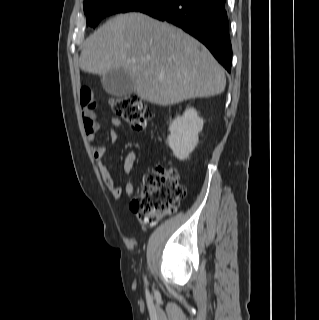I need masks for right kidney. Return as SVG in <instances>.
Returning a JSON list of instances; mask_svg holds the SVG:
<instances>
[{
  "mask_svg": "<svg viewBox=\"0 0 319 320\" xmlns=\"http://www.w3.org/2000/svg\"><path fill=\"white\" fill-rule=\"evenodd\" d=\"M203 120L194 108H187L183 116H177L169 126L168 145L175 157L185 160L198 144V134Z\"/></svg>",
  "mask_w": 319,
  "mask_h": 320,
  "instance_id": "ca27d5eb",
  "label": "right kidney"
}]
</instances>
